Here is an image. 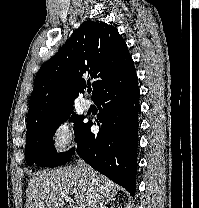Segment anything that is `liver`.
Instances as JSON below:
<instances>
[{"label":"liver","mask_w":199,"mask_h":208,"mask_svg":"<svg viewBox=\"0 0 199 208\" xmlns=\"http://www.w3.org/2000/svg\"><path fill=\"white\" fill-rule=\"evenodd\" d=\"M98 190L106 201L114 200L119 187L110 179L92 170ZM92 178L79 166L68 165L43 170L33 176L27 188V208H63L64 200L74 195L78 208H87Z\"/></svg>","instance_id":"liver-1"}]
</instances>
